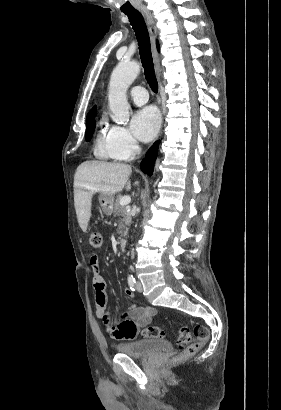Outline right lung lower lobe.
<instances>
[{
  "label": "right lung lower lobe",
  "mask_w": 281,
  "mask_h": 410,
  "mask_svg": "<svg viewBox=\"0 0 281 410\" xmlns=\"http://www.w3.org/2000/svg\"><path fill=\"white\" fill-rule=\"evenodd\" d=\"M158 146H159V143L155 142L152 148H150L147 151L146 157L143 159V161L140 164L141 170L150 176L152 175L153 170H154V162L157 157Z\"/></svg>",
  "instance_id": "right-lung-lower-lobe-1"
}]
</instances>
